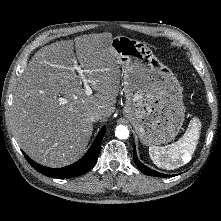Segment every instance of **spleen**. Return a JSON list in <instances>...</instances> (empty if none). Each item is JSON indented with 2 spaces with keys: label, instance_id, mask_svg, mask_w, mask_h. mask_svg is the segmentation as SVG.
Segmentation results:
<instances>
[{
  "label": "spleen",
  "instance_id": "1",
  "mask_svg": "<svg viewBox=\"0 0 221 221\" xmlns=\"http://www.w3.org/2000/svg\"><path fill=\"white\" fill-rule=\"evenodd\" d=\"M201 122L194 117L184 135L167 147L150 146L149 155L153 163L163 169L174 170L187 164L197 147Z\"/></svg>",
  "mask_w": 221,
  "mask_h": 221
}]
</instances>
